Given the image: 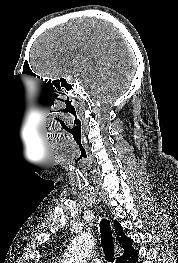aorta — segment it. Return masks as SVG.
<instances>
[{"label":"aorta","instance_id":"762f6f07","mask_svg":"<svg viewBox=\"0 0 178 263\" xmlns=\"http://www.w3.org/2000/svg\"><path fill=\"white\" fill-rule=\"evenodd\" d=\"M94 246L93 236L89 232L77 235L67 250L62 263H86Z\"/></svg>","mask_w":178,"mask_h":263}]
</instances>
